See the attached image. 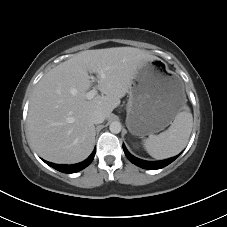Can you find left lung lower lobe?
<instances>
[{
    "mask_svg": "<svg viewBox=\"0 0 227 227\" xmlns=\"http://www.w3.org/2000/svg\"><path fill=\"white\" fill-rule=\"evenodd\" d=\"M123 149L125 152L126 157L131 161L133 164L144 168V169H150V170H156V169H161L167 165H169L171 162H173L178 156H175L173 158L163 160V161H156V162H150V161H144L141 159H138L131 155L128 150L126 149L125 145L123 144Z\"/></svg>",
    "mask_w": 227,
    "mask_h": 227,
    "instance_id": "1",
    "label": "left lung lower lobe"
}]
</instances>
